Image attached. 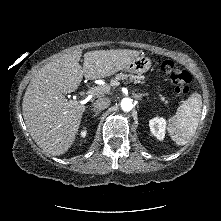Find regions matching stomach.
<instances>
[{
    "mask_svg": "<svg viewBox=\"0 0 221 221\" xmlns=\"http://www.w3.org/2000/svg\"><path fill=\"white\" fill-rule=\"evenodd\" d=\"M151 67V60L144 55L138 56L132 59L127 66L125 67V71L135 74H142L147 72Z\"/></svg>",
    "mask_w": 221,
    "mask_h": 221,
    "instance_id": "1",
    "label": "stomach"
}]
</instances>
